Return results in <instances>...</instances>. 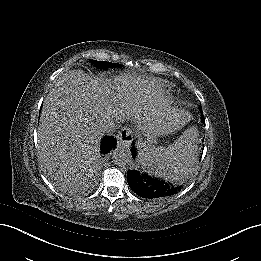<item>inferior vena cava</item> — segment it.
<instances>
[{"mask_svg": "<svg viewBox=\"0 0 261 261\" xmlns=\"http://www.w3.org/2000/svg\"><path fill=\"white\" fill-rule=\"evenodd\" d=\"M120 125L116 124L115 122H109L104 126L105 133L113 135L120 129Z\"/></svg>", "mask_w": 261, "mask_h": 261, "instance_id": "602c4592", "label": "inferior vena cava"}]
</instances>
